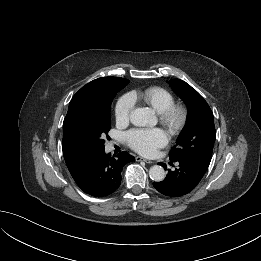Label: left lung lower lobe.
<instances>
[{
  "instance_id": "left-lung-lower-lobe-1",
  "label": "left lung lower lobe",
  "mask_w": 261,
  "mask_h": 261,
  "mask_svg": "<svg viewBox=\"0 0 261 261\" xmlns=\"http://www.w3.org/2000/svg\"><path fill=\"white\" fill-rule=\"evenodd\" d=\"M172 162H177L178 167L174 171L168 170L166 178L161 182H154L153 186L165 196L181 197L190 193L199 184L204 175L185 161ZM159 164L166 169L164 163Z\"/></svg>"
}]
</instances>
